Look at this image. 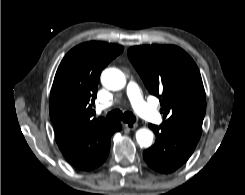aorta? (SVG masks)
<instances>
[{
  "label": "aorta",
  "mask_w": 245,
  "mask_h": 195,
  "mask_svg": "<svg viewBox=\"0 0 245 195\" xmlns=\"http://www.w3.org/2000/svg\"><path fill=\"white\" fill-rule=\"evenodd\" d=\"M101 83L104 87L117 91L124 88L126 78L124 74L116 68L105 69L101 74ZM137 143L144 148H148L153 142V133L146 128H141L136 132Z\"/></svg>",
  "instance_id": "762f6f07"
}]
</instances>
